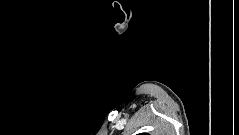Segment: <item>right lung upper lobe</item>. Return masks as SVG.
I'll list each match as a JSON object with an SVG mask.
<instances>
[{
  "instance_id": "right-lung-upper-lobe-1",
  "label": "right lung upper lobe",
  "mask_w": 239,
  "mask_h": 135,
  "mask_svg": "<svg viewBox=\"0 0 239 135\" xmlns=\"http://www.w3.org/2000/svg\"><path fill=\"white\" fill-rule=\"evenodd\" d=\"M139 135H148V134H146V133H142V134H139Z\"/></svg>"
}]
</instances>
